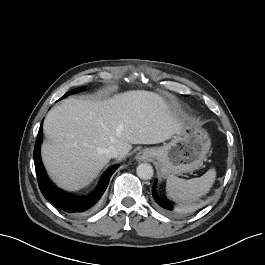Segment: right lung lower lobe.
Wrapping results in <instances>:
<instances>
[{
  "mask_svg": "<svg viewBox=\"0 0 265 265\" xmlns=\"http://www.w3.org/2000/svg\"><path fill=\"white\" fill-rule=\"evenodd\" d=\"M41 143H42V124L40 126L38 137L34 147V163H35L39 188L43 196L49 202L55 205L57 208L67 213L80 214L88 210L92 206H94L103 195L104 191L107 188L111 175L115 172L118 166L114 165L105 172L99 183V186L97 187L96 191L93 194H91L89 197L78 198L58 189L50 182V180L48 179L45 173L40 158Z\"/></svg>",
  "mask_w": 265,
  "mask_h": 265,
  "instance_id": "98d812e1",
  "label": "right lung lower lobe"
}]
</instances>
